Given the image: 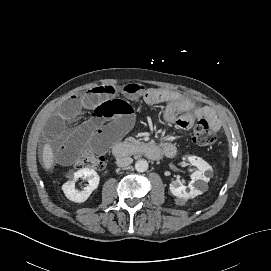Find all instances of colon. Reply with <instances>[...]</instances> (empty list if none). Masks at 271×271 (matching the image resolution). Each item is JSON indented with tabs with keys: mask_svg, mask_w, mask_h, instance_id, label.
<instances>
[{
	"mask_svg": "<svg viewBox=\"0 0 271 271\" xmlns=\"http://www.w3.org/2000/svg\"><path fill=\"white\" fill-rule=\"evenodd\" d=\"M178 126L182 129L188 126L194 128L193 141L202 147H211L216 142V135L210 122L202 117L197 120H179ZM104 158L91 151H86L75 163V167L78 169L92 168L100 170L104 167Z\"/></svg>",
	"mask_w": 271,
	"mask_h": 271,
	"instance_id": "colon-1",
	"label": "colon"
}]
</instances>
